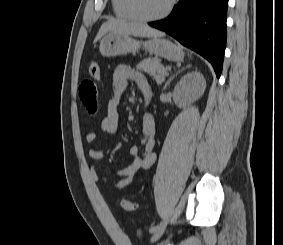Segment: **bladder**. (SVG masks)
Returning <instances> with one entry per match:
<instances>
[{
    "label": "bladder",
    "instance_id": "obj_1",
    "mask_svg": "<svg viewBox=\"0 0 283 245\" xmlns=\"http://www.w3.org/2000/svg\"><path fill=\"white\" fill-rule=\"evenodd\" d=\"M136 235L139 239H143V232L141 230H137Z\"/></svg>",
    "mask_w": 283,
    "mask_h": 245
}]
</instances>
